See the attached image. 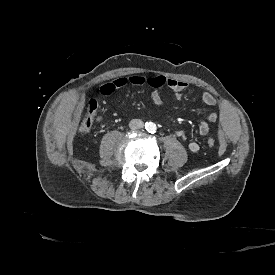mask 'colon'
Segmentation results:
<instances>
[{
  "mask_svg": "<svg viewBox=\"0 0 275 275\" xmlns=\"http://www.w3.org/2000/svg\"><path fill=\"white\" fill-rule=\"evenodd\" d=\"M98 102L94 98H90L88 101V106H87V112L86 115L84 116L81 124H80V131L83 133L89 132L94 124L95 121V114L98 112ZM215 144L214 138L210 137L208 139V142L206 143V146L208 148H211Z\"/></svg>",
  "mask_w": 275,
  "mask_h": 275,
  "instance_id": "1",
  "label": "colon"
}]
</instances>
